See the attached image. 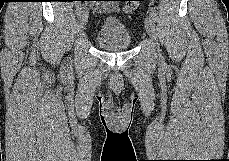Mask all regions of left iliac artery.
<instances>
[{
	"label": "left iliac artery",
	"instance_id": "left-iliac-artery-1",
	"mask_svg": "<svg viewBox=\"0 0 229 161\" xmlns=\"http://www.w3.org/2000/svg\"><path fill=\"white\" fill-rule=\"evenodd\" d=\"M149 16L155 21H157L158 19V16L153 8L149 9Z\"/></svg>",
	"mask_w": 229,
	"mask_h": 161
}]
</instances>
